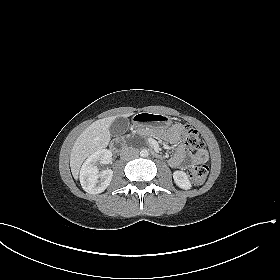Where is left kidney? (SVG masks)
<instances>
[{"label":"left kidney","instance_id":"left-kidney-1","mask_svg":"<svg viewBox=\"0 0 280 280\" xmlns=\"http://www.w3.org/2000/svg\"><path fill=\"white\" fill-rule=\"evenodd\" d=\"M173 179L177 186L182 189H190L192 187L187 174L183 171H175L173 173Z\"/></svg>","mask_w":280,"mask_h":280}]
</instances>
